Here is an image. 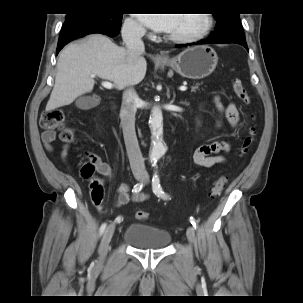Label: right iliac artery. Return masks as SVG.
Returning a JSON list of instances; mask_svg holds the SVG:
<instances>
[{"mask_svg": "<svg viewBox=\"0 0 303 303\" xmlns=\"http://www.w3.org/2000/svg\"><path fill=\"white\" fill-rule=\"evenodd\" d=\"M142 187H143V184H142V183H137V184L133 187L132 192L137 193V192L141 191ZM116 221L120 223V222L122 221V217H121V216H118V217L116 218ZM106 226H107V223H103V224L101 225V227H100V235L103 234V232H104Z\"/></svg>", "mask_w": 303, "mask_h": 303, "instance_id": "1", "label": "right iliac artery"}]
</instances>
